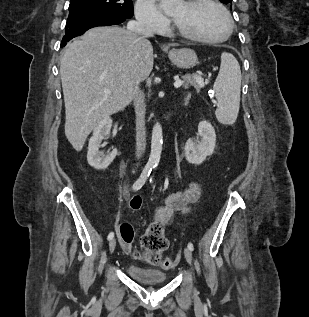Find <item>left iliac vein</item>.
<instances>
[{"label":"left iliac vein","instance_id":"4c4485c4","mask_svg":"<svg viewBox=\"0 0 309 317\" xmlns=\"http://www.w3.org/2000/svg\"><path fill=\"white\" fill-rule=\"evenodd\" d=\"M184 256L186 261L191 264L192 263V252L189 248L184 249Z\"/></svg>","mask_w":309,"mask_h":317}]
</instances>
